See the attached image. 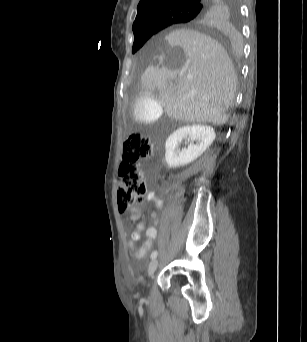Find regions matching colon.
Wrapping results in <instances>:
<instances>
[{
  "instance_id": "1",
  "label": "colon",
  "mask_w": 307,
  "mask_h": 342,
  "mask_svg": "<svg viewBox=\"0 0 307 342\" xmlns=\"http://www.w3.org/2000/svg\"><path fill=\"white\" fill-rule=\"evenodd\" d=\"M153 144L140 134H134L123 144L117 200L119 210L124 216L138 217L140 205L146 193V182L143 178L139 161L150 159Z\"/></svg>"
}]
</instances>
